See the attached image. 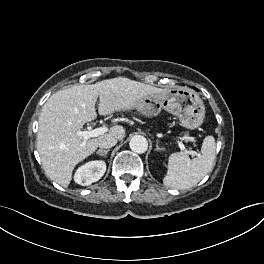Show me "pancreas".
Returning a JSON list of instances; mask_svg holds the SVG:
<instances>
[{
	"mask_svg": "<svg viewBox=\"0 0 264 264\" xmlns=\"http://www.w3.org/2000/svg\"><path fill=\"white\" fill-rule=\"evenodd\" d=\"M184 139H185V140H188V139H189V137H188L187 134H185Z\"/></svg>",
	"mask_w": 264,
	"mask_h": 264,
	"instance_id": "pancreas-1",
	"label": "pancreas"
}]
</instances>
